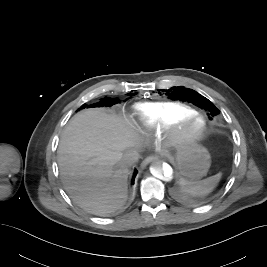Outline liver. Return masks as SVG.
I'll use <instances>...</instances> for the list:
<instances>
[{
  "label": "liver",
  "mask_w": 267,
  "mask_h": 267,
  "mask_svg": "<svg viewBox=\"0 0 267 267\" xmlns=\"http://www.w3.org/2000/svg\"><path fill=\"white\" fill-rule=\"evenodd\" d=\"M138 144L132 125L99 108L77 113L63 131L58 166L65 190L90 213L106 215L127 199L124 154Z\"/></svg>",
  "instance_id": "6515ba94"
}]
</instances>
